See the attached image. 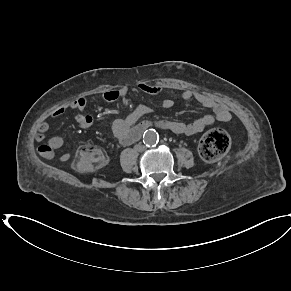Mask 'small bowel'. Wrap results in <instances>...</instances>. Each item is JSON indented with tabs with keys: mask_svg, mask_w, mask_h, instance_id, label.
Segmentation results:
<instances>
[{
	"mask_svg": "<svg viewBox=\"0 0 291 291\" xmlns=\"http://www.w3.org/2000/svg\"><path fill=\"white\" fill-rule=\"evenodd\" d=\"M139 89L142 92L149 93L152 95H160L163 93V88L157 85H153L147 82H141ZM129 90L127 87L120 89H108L102 97L106 102L114 103L127 98ZM182 99L185 101L195 100L203 108L210 110V113H206L203 116L193 120L192 122L182 121H170L162 120L158 122L142 121L139 120L153 112V108L147 105L137 106L126 119H117L113 123L112 131L114 136L123 145H129L137 141L145 131V125H153L164 130L176 134L193 135L203 131L208 126H211L215 122H229L232 118V114L229 108L210 96L196 92L193 90H184L182 93ZM174 105V101L170 98H165L161 103V108L170 109ZM68 110L75 111L74 120L76 124L81 128H89L94 124V117L87 111V99L80 97L72 100L66 105L60 106L55 109L48 117V119L42 121L39 125L38 132L36 134V140L43 142L45 134L47 133L50 126V119H57L65 115ZM65 145V141L60 136H53L48 139L46 145H40L38 152L47 159L57 158L61 162L68 161L71 157L69 153L56 156V149H60Z\"/></svg>",
	"mask_w": 291,
	"mask_h": 291,
	"instance_id": "1",
	"label": "small bowel"
}]
</instances>
